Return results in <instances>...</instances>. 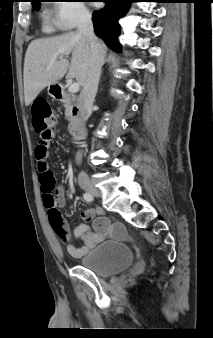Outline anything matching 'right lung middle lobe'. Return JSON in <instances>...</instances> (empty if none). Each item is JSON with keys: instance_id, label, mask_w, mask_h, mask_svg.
Segmentation results:
<instances>
[{"instance_id": "dd1d6c3e", "label": "right lung middle lobe", "mask_w": 213, "mask_h": 338, "mask_svg": "<svg viewBox=\"0 0 213 338\" xmlns=\"http://www.w3.org/2000/svg\"><path fill=\"white\" fill-rule=\"evenodd\" d=\"M33 8L37 9L39 8V4L41 0H31Z\"/></svg>"}]
</instances>
